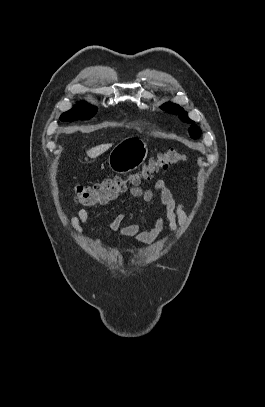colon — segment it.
<instances>
[{"label": "colon", "mask_w": 265, "mask_h": 407, "mask_svg": "<svg viewBox=\"0 0 265 407\" xmlns=\"http://www.w3.org/2000/svg\"><path fill=\"white\" fill-rule=\"evenodd\" d=\"M183 161H185L184 154L173 148L166 149L146 162L138 172L127 177L114 176L91 185H77L75 201L85 207L107 203L124 193L130 186L150 179L160 170Z\"/></svg>", "instance_id": "colon-1"}]
</instances>
